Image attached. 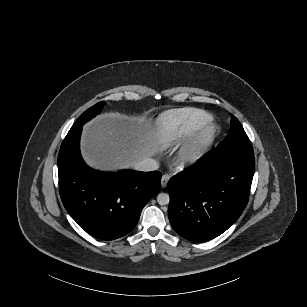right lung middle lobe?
Masks as SVG:
<instances>
[{"label":"right lung middle lobe","instance_id":"dd1d6c3e","mask_svg":"<svg viewBox=\"0 0 307 307\" xmlns=\"http://www.w3.org/2000/svg\"><path fill=\"white\" fill-rule=\"evenodd\" d=\"M105 102L101 101L91 108L87 109L84 113L81 114V116L76 120L74 125L72 126V129L76 128L77 126L84 125L87 121L95 117L97 114H99L104 107Z\"/></svg>","mask_w":307,"mask_h":307}]
</instances>
